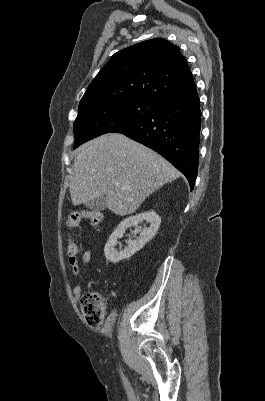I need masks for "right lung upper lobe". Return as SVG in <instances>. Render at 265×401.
<instances>
[{"mask_svg": "<svg viewBox=\"0 0 265 401\" xmlns=\"http://www.w3.org/2000/svg\"><path fill=\"white\" fill-rule=\"evenodd\" d=\"M194 86L187 60L179 48L156 38L115 53L91 82L79 106L111 98L161 102Z\"/></svg>", "mask_w": 265, "mask_h": 401, "instance_id": "1", "label": "right lung upper lobe"}]
</instances>
